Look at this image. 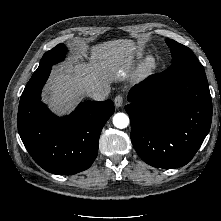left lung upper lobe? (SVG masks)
<instances>
[{"mask_svg": "<svg viewBox=\"0 0 221 221\" xmlns=\"http://www.w3.org/2000/svg\"><path fill=\"white\" fill-rule=\"evenodd\" d=\"M167 45L170 47L172 54V65L191 59H197L191 49L179 44L178 42L170 39H166ZM171 65V66H172Z\"/></svg>", "mask_w": 221, "mask_h": 221, "instance_id": "1", "label": "left lung upper lobe"}]
</instances>
